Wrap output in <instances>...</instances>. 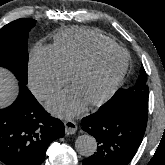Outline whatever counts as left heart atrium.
Instances as JSON below:
<instances>
[{"instance_id": "1", "label": "left heart atrium", "mask_w": 165, "mask_h": 165, "mask_svg": "<svg viewBox=\"0 0 165 165\" xmlns=\"http://www.w3.org/2000/svg\"><path fill=\"white\" fill-rule=\"evenodd\" d=\"M86 101L75 88L67 89L53 96L48 101V109L62 117H72L79 113L85 106Z\"/></svg>"}]
</instances>
